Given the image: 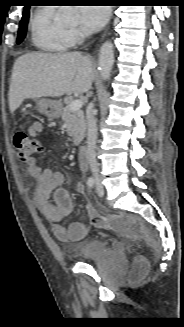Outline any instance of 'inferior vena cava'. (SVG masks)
Segmentation results:
<instances>
[{"label": "inferior vena cava", "instance_id": "602c4592", "mask_svg": "<svg viewBox=\"0 0 184 327\" xmlns=\"http://www.w3.org/2000/svg\"><path fill=\"white\" fill-rule=\"evenodd\" d=\"M93 103L89 104L87 110V157L90 164L91 172L95 180H99V168L96 159V143H97V124L95 113L93 111Z\"/></svg>", "mask_w": 184, "mask_h": 327}]
</instances>
